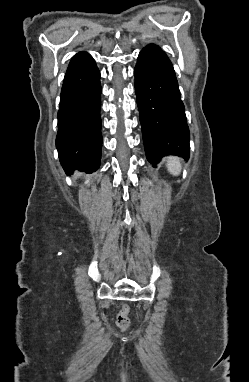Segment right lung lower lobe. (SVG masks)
<instances>
[{
	"label": "right lung lower lobe",
	"instance_id": "right-lung-lower-lobe-1",
	"mask_svg": "<svg viewBox=\"0 0 249 382\" xmlns=\"http://www.w3.org/2000/svg\"><path fill=\"white\" fill-rule=\"evenodd\" d=\"M100 72L90 57L65 75L58 111L56 148L66 173H92L101 160Z\"/></svg>",
	"mask_w": 249,
	"mask_h": 382
}]
</instances>
